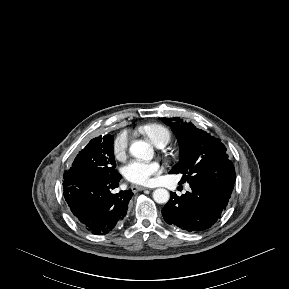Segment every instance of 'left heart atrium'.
<instances>
[{"instance_id":"39dd6f15","label":"left heart atrium","mask_w":289,"mask_h":289,"mask_svg":"<svg viewBox=\"0 0 289 289\" xmlns=\"http://www.w3.org/2000/svg\"><path fill=\"white\" fill-rule=\"evenodd\" d=\"M161 165L157 161L145 162L132 160L123 168V175L127 181L137 185H150L153 177L160 174Z\"/></svg>"}]
</instances>
